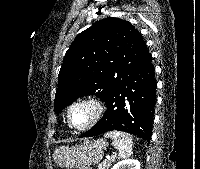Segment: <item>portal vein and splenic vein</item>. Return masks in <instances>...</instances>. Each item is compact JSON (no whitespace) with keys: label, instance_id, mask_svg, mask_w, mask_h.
Segmentation results:
<instances>
[{"label":"portal vein and splenic vein","instance_id":"portal-vein-and-splenic-vein-1","mask_svg":"<svg viewBox=\"0 0 200 169\" xmlns=\"http://www.w3.org/2000/svg\"><path fill=\"white\" fill-rule=\"evenodd\" d=\"M115 156H107L106 159H113Z\"/></svg>","mask_w":200,"mask_h":169}]
</instances>
